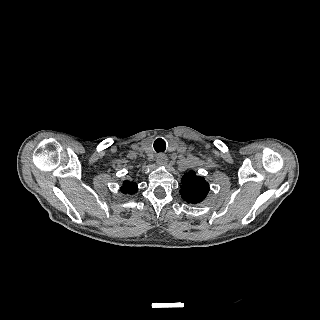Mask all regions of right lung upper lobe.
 <instances>
[{"instance_id": "cb5924a9", "label": "right lung upper lobe", "mask_w": 320, "mask_h": 320, "mask_svg": "<svg viewBox=\"0 0 320 320\" xmlns=\"http://www.w3.org/2000/svg\"><path fill=\"white\" fill-rule=\"evenodd\" d=\"M138 190L137 184L129 181H124V185L121 187V192L125 194H134Z\"/></svg>"}]
</instances>
